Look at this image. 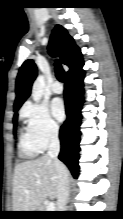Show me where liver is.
Listing matches in <instances>:
<instances>
[{"mask_svg": "<svg viewBox=\"0 0 123 219\" xmlns=\"http://www.w3.org/2000/svg\"><path fill=\"white\" fill-rule=\"evenodd\" d=\"M58 185L55 163L47 155L17 164L13 178V211H36L46 198H57Z\"/></svg>", "mask_w": 123, "mask_h": 219, "instance_id": "1", "label": "liver"}]
</instances>
